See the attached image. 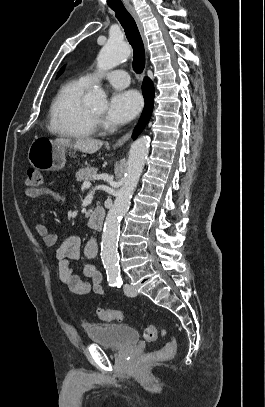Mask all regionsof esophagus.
Here are the masks:
<instances>
[{
    "label": "esophagus",
    "mask_w": 265,
    "mask_h": 407,
    "mask_svg": "<svg viewBox=\"0 0 265 407\" xmlns=\"http://www.w3.org/2000/svg\"><path fill=\"white\" fill-rule=\"evenodd\" d=\"M126 9L131 14V16L134 18V20H135V22L137 24V27L139 29V32H140V34L142 36V39H143V42H144L146 53L148 54L147 40H146L145 35H144L143 26H142V23L140 21V18H139L138 14H137V12H136V10L134 9L133 6H131V5L127 6ZM132 131H133V128L128 130L121 138H119L118 141L113 145V148L116 149L118 147L123 146L131 138Z\"/></svg>",
    "instance_id": "1"
}]
</instances>
